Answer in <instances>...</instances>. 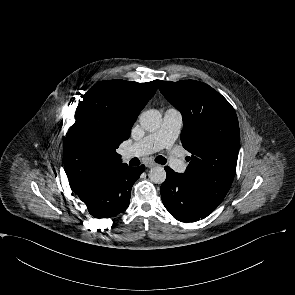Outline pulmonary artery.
<instances>
[{
  "mask_svg": "<svg viewBox=\"0 0 295 295\" xmlns=\"http://www.w3.org/2000/svg\"><path fill=\"white\" fill-rule=\"evenodd\" d=\"M183 124L181 112L176 108L166 110L161 126L123 151L124 158L149 155L170 147L178 138ZM171 167L179 173L186 170L185 162L175 153L170 155Z\"/></svg>",
  "mask_w": 295,
  "mask_h": 295,
  "instance_id": "obj_1",
  "label": "pulmonary artery"
}]
</instances>
